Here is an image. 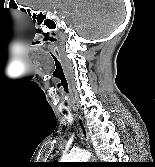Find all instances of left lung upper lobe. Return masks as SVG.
I'll return each mask as SVG.
<instances>
[{
    "mask_svg": "<svg viewBox=\"0 0 155 167\" xmlns=\"http://www.w3.org/2000/svg\"><path fill=\"white\" fill-rule=\"evenodd\" d=\"M50 166L51 167H63L64 165L62 163L53 162V163H50Z\"/></svg>",
    "mask_w": 155,
    "mask_h": 167,
    "instance_id": "obj_1",
    "label": "left lung upper lobe"
}]
</instances>
